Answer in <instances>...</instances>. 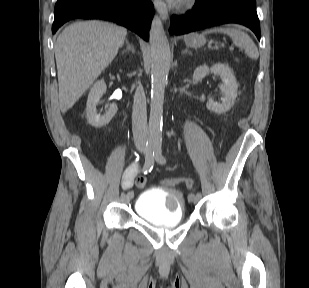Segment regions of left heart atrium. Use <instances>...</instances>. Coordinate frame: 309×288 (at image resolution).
I'll list each match as a JSON object with an SVG mask.
<instances>
[{"instance_id":"39dd6f15","label":"left heart atrium","mask_w":309,"mask_h":288,"mask_svg":"<svg viewBox=\"0 0 309 288\" xmlns=\"http://www.w3.org/2000/svg\"><path fill=\"white\" fill-rule=\"evenodd\" d=\"M170 1H172V2H178V1H180V0H170Z\"/></svg>"}]
</instances>
